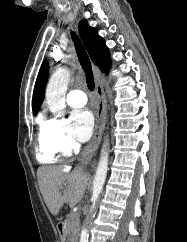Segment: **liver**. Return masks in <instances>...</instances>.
<instances>
[{
    "label": "liver",
    "instance_id": "liver-1",
    "mask_svg": "<svg viewBox=\"0 0 187 242\" xmlns=\"http://www.w3.org/2000/svg\"><path fill=\"white\" fill-rule=\"evenodd\" d=\"M43 199L52 215L57 216L65 203L74 207L81 201L89 183V175L70 166H42L37 171Z\"/></svg>",
    "mask_w": 187,
    "mask_h": 242
}]
</instances>
